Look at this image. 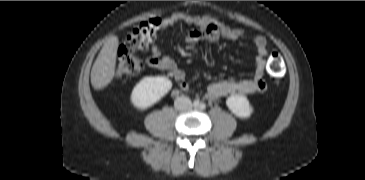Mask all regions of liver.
Instances as JSON below:
<instances>
[{
    "mask_svg": "<svg viewBox=\"0 0 365 180\" xmlns=\"http://www.w3.org/2000/svg\"><path fill=\"white\" fill-rule=\"evenodd\" d=\"M118 47L119 39L117 36H112L103 45L91 70V84L94 89H104L113 80Z\"/></svg>",
    "mask_w": 365,
    "mask_h": 180,
    "instance_id": "1",
    "label": "liver"
}]
</instances>
